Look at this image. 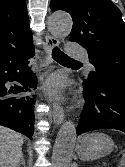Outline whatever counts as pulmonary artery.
<instances>
[{"label": "pulmonary artery", "mask_w": 125, "mask_h": 167, "mask_svg": "<svg viewBox=\"0 0 125 167\" xmlns=\"http://www.w3.org/2000/svg\"><path fill=\"white\" fill-rule=\"evenodd\" d=\"M67 55L71 58L86 60V53L72 41L67 43ZM88 66L92 68V65L89 63Z\"/></svg>", "instance_id": "e3ab8cb5"}]
</instances>
